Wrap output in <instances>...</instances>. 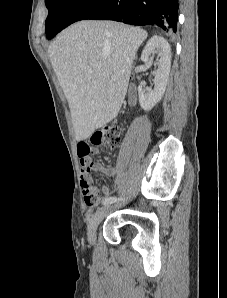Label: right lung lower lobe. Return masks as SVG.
<instances>
[{
	"mask_svg": "<svg viewBox=\"0 0 227 298\" xmlns=\"http://www.w3.org/2000/svg\"><path fill=\"white\" fill-rule=\"evenodd\" d=\"M178 0H103L83 19L115 20L131 25H157L176 32Z\"/></svg>",
	"mask_w": 227,
	"mask_h": 298,
	"instance_id": "right-lung-lower-lobe-1",
	"label": "right lung lower lobe"
}]
</instances>
